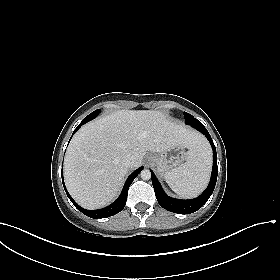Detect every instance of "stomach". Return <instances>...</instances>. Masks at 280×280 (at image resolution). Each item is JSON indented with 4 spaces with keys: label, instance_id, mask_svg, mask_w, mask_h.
Returning a JSON list of instances; mask_svg holds the SVG:
<instances>
[{
    "label": "stomach",
    "instance_id": "obj_1",
    "mask_svg": "<svg viewBox=\"0 0 280 280\" xmlns=\"http://www.w3.org/2000/svg\"><path fill=\"white\" fill-rule=\"evenodd\" d=\"M151 165L155 167L157 172L161 175H165L168 171L180 166L184 161L188 159V152L183 150V147L173 146L165 151L150 156Z\"/></svg>",
    "mask_w": 280,
    "mask_h": 280
}]
</instances>
